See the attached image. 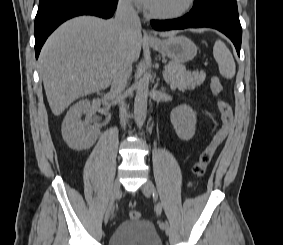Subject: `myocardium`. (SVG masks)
I'll return each instance as SVG.
<instances>
[{
	"instance_id": "1",
	"label": "myocardium",
	"mask_w": 283,
	"mask_h": 245,
	"mask_svg": "<svg viewBox=\"0 0 283 245\" xmlns=\"http://www.w3.org/2000/svg\"><path fill=\"white\" fill-rule=\"evenodd\" d=\"M196 0H185L184 4L172 12H157L147 9V15L156 19H176L187 14L195 5Z\"/></svg>"
}]
</instances>
